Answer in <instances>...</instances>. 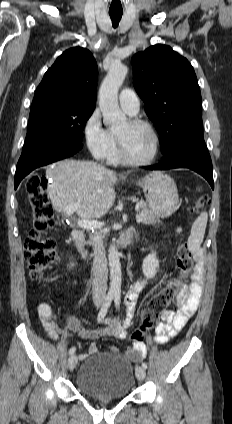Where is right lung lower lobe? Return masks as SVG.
Masks as SVG:
<instances>
[{
    "instance_id": "obj_1",
    "label": "right lung lower lobe",
    "mask_w": 232,
    "mask_h": 424,
    "mask_svg": "<svg viewBox=\"0 0 232 424\" xmlns=\"http://www.w3.org/2000/svg\"><path fill=\"white\" fill-rule=\"evenodd\" d=\"M81 142H63L57 140H38L23 148L15 173V189L21 180L32 170L58 160L68 158L77 153Z\"/></svg>"
}]
</instances>
